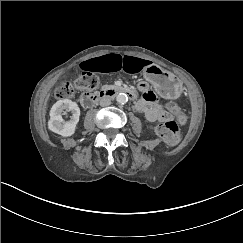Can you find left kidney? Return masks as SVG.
Here are the masks:
<instances>
[{
    "instance_id": "1",
    "label": "left kidney",
    "mask_w": 243,
    "mask_h": 243,
    "mask_svg": "<svg viewBox=\"0 0 243 243\" xmlns=\"http://www.w3.org/2000/svg\"><path fill=\"white\" fill-rule=\"evenodd\" d=\"M153 130V126H149V131H152Z\"/></svg>"
}]
</instances>
